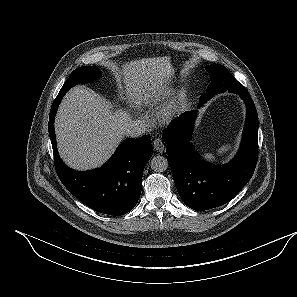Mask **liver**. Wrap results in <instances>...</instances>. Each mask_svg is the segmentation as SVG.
I'll use <instances>...</instances> for the list:
<instances>
[{"label":"liver","instance_id":"6515ba94","mask_svg":"<svg viewBox=\"0 0 297 297\" xmlns=\"http://www.w3.org/2000/svg\"><path fill=\"white\" fill-rule=\"evenodd\" d=\"M113 68L136 106L149 97V92L163 88L173 75L169 57L132 60ZM130 122L127 112L114 110L92 90L75 86L64 96L55 118L60 157L76 170L97 168L114 152Z\"/></svg>","mask_w":297,"mask_h":297}]
</instances>
